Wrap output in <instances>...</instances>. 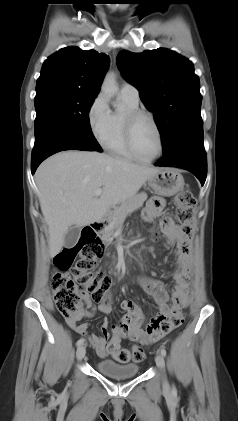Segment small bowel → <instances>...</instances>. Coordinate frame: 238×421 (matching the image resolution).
I'll list each match as a JSON object with an SVG mask.
<instances>
[{"label":"small bowel","instance_id":"small-bowel-1","mask_svg":"<svg viewBox=\"0 0 238 421\" xmlns=\"http://www.w3.org/2000/svg\"><path fill=\"white\" fill-rule=\"evenodd\" d=\"M164 200L153 198L148 201L143 212V218L149 222L155 218L163 209ZM162 230L166 237V246L174 247V256L177 270L173 274L174 286L169 294L162 282L147 277L138 279L142 289L150 294L158 305V313L151 319L146 328L142 327L144 316L137 303L132 299H125L121 303L126 315L118 325L112 329V335L108 330V321L103 319L100 325V334H88V324L79 323L82 317H92L96 312L109 314L112 310L110 304L94 305L87 301L88 308L81 316L75 319H67L68 325L82 336H87L90 345L96 350L100 357L113 355L115 349L120 347L123 338L132 341L149 338L156 333L161 324L166 320L171 311L184 309L189 304V287L192 269L191 244L189 239L183 235L180 229L171 219H165L162 223Z\"/></svg>","mask_w":238,"mask_h":421}]
</instances>
